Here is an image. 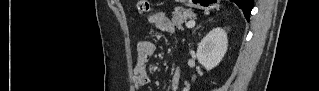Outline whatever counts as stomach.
Returning a JSON list of instances; mask_svg holds the SVG:
<instances>
[{"label":"stomach","mask_w":319,"mask_h":91,"mask_svg":"<svg viewBox=\"0 0 319 91\" xmlns=\"http://www.w3.org/2000/svg\"><path fill=\"white\" fill-rule=\"evenodd\" d=\"M194 2H197V1H194ZM194 2H191L188 5L192 7H198V8H212L214 6L213 3H215L216 1H200L201 3L199 2L197 4Z\"/></svg>","instance_id":"0dacf381"}]
</instances>
